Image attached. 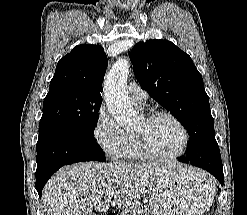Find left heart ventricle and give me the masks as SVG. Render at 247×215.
<instances>
[{"label": "left heart ventricle", "instance_id": "left-heart-ventricle-1", "mask_svg": "<svg viewBox=\"0 0 247 215\" xmlns=\"http://www.w3.org/2000/svg\"><path fill=\"white\" fill-rule=\"evenodd\" d=\"M134 132L143 133L151 149L162 155L177 153L183 144L180 128L168 118H160L151 123H146L143 119Z\"/></svg>", "mask_w": 247, "mask_h": 215}]
</instances>
